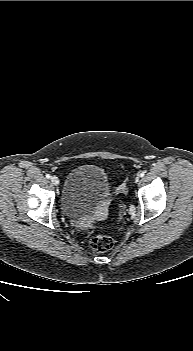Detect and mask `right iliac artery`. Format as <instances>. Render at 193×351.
Instances as JSON below:
<instances>
[{
    "label": "right iliac artery",
    "mask_w": 193,
    "mask_h": 351,
    "mask_svg": "<svg viewBox=\"0 0 193 351\" xmlns=\"http://www.w3.org/2000/svg\"><path fill=\"white\" fill-rule=\"evenodd\" d=\"M46 178L50 179L51 178L50 174H46Z\"/></svg>",
    "instance_id": "1"
}]
</instances>
